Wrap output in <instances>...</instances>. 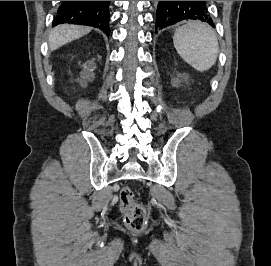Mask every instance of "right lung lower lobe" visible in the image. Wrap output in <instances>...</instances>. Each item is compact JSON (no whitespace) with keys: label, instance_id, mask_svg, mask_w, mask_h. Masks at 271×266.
I'll return each mask as SVG.
<instances>
[{"label":"right lung lower lobe","instance_id":"obj_1","mask_svg":"<svg viewBox=\"0 0 271 266\" xmlns=\"http://www.w3.org/2000/svg\"><path fill=\"white\" fill-rule=\"evenodd\" d=\"M110 1H62L53 26L63 23L93 26L101 29L107 36L109 28Z\"/></svg>","mask_w":271,"mask_h":266}]
</instances>
